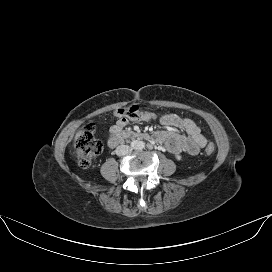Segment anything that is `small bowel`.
<instances>
[{
  "label": "small bowel",
  "mask_w": 272,
  "mask_h": 272,
  "mask_svg": "<svg viewBox=\"0 0 272 272\" xmlns=\"http://www.w3.org/2000/svg\"><path fill=\"white\" fill-rule=\"evenodd\" d=\"M160 122L170 129L156 132L154 139L164 144L166 149L171 153L184 152L196 155L205 147L207 140L193 120L180 117L176 114H166L160 118ZM127 123L128 120L126 118H120L112 127L111 133L113 134L115 131L123 129ZM173 128L182 129L186 134H179L173 131Z\"/></svg>",
  "instance_id": "1"
}]
</instances>
